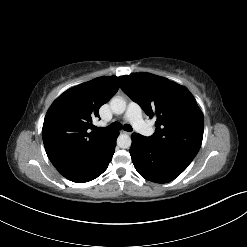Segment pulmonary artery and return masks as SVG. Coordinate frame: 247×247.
I'll return each mask as SVG.
<instances>
[{
    "instance_id": "e3ab8cb5",
    "label": "pulmonary artery",
    "mask_w": 247,
    "mask_h": 247,
    "mask_svg": "<svg viewBox=\"0 0 247 247\" xmlns=\"http://www.w3.org/2000/svg\"><path fill=\"white\" fill-rule=\"evenodd\" d=\"M124 119L130 122L134 128L143 135L149 136L153 133L152 127L142 118L140 106L134 102L129 103Z\"/></svg>"
}]
</instances>
